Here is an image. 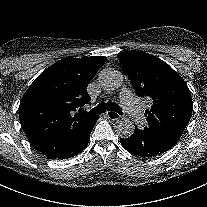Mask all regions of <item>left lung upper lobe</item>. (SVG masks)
Here are the masks:
<instances>
[{"label":"left lung upper lobe","instance_id":"1","mask_svg":"<svg viewBox=\"0 0 207 207\" xmlns=\"http://www.w3.org/2000/svg\"><path fill=\"white\" fill-rule=\"evenodd\" d=\"M117 57L136 94L152 102L151 109L144 113L148 122L144 131L172 148L193 111L186 83L166 62L151 54L126 51Z\"/></svg>","mask_w":207,"mask_h":207}]
</instances>
